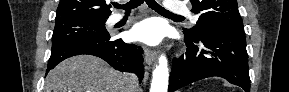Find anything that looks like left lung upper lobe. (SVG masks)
<instances>
[{
    "label": "left lung upper lobe",
    "instance_id": "left-lung-upper-lobe-1",
    "mask_svg": "<svg viewBox=\"0 0 289 92\" xmlns=\"http://www.w3.org/2000/svg\"><path fill=\"white\" fill-rule=\"evenodd\" d=\"M191 11L199 14L196 27L183 28L185 36L198 39L202 31L212 28L228 29L244 33L243 21L237 0H190Z\"/></svg>",
    "mask_w": 289,
    "mask_h": 92
}]
</instances>
